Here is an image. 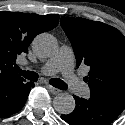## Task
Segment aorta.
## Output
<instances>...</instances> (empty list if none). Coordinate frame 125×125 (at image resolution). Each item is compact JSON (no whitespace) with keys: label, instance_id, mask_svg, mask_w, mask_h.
<instances>
[{"label":"aorta","instance_id":"obj_1","mask_svg":"<svg viewBox=\"0 0 125 125\" xmlns=\"http://www.w3.org/2000/svg\"><path fill=\"white\" fill-rule=\"evenodd\" d=\"M32 47L39 57L46 58L54 54L56 41L52 35L43 33L34 39ZM53 106L58 113L67 115L73 112L75 100L72 95L61 93L54 98Z\"/></svg>","mask_w":125,"mask_h":125}]
</instances>
